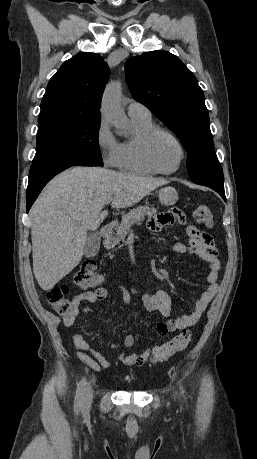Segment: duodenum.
<instances>
[{"label": "duodenum", "mask_w": 257, "mask_h": 459, "mask_svg": "<svg viewBox=\"0 0 257 459\" xmlns=\"http://www.w3.org/2000/svg\"><path fill=\"white\" fill-rule=\"evenodd\" d=\"M114 226H115V222H110V223L105 224L100 230V235L102 237H108L110 233L112 232Z\"/></svg>", "instance_id": "duodenum-1"}]
</instances>
